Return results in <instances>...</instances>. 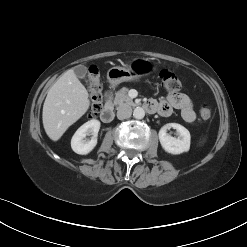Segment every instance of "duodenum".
Returning a JSON list of instances; mask_svg holds the SVG:
<instances>
[{"label":"duodenum","mask_w":247,"mask_h":247,"mask_svg":"<svg viewBox=\"0 0 247 247\" xmlns=\"http://www.w3.org/2000/svg\"><path fill=\"white\" fill-rule=\"evenodd\" d=\"M145 109L148 111H157L155 105H152L150 102L145 104ZM114 118V110H113V105L110 103H107L102 112H101V119L105 123H109L113 120Z\"/></svg>","instance_id":"1"}]
</instances>
